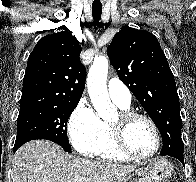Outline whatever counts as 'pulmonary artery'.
I'll return each mask as SVG.
<instances>
[{"instance_id":"obj_1","label":"pulmonary artery","mask_w":196,"mask_h":182,"mask_svg":"<svg viewBox=\"0 0 196 182\" xmlns=\"http://www.w3.org/2000/svg\"><path fill=\"white\" fill-rule=\"evenodd\" d=\"M108 94L112 101L122 106H130L132 97L131 92L118 79H111L107 85Z\"/></svg>"}]
</instances>
